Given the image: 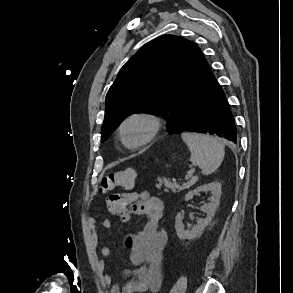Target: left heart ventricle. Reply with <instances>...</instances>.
Returning <instances> with one entry per match:
<instances>
[{
    "instance_id": "left-heart-ventricle-1",
    "label": "left heart ventricle",
    "mask_w": 293,
    "mask_h": 293,
    "mask_svg": "<svg viewBox=\"0 0 293 293\" xmlns=\"http://www.w3.org/2000/svg\"><path fill=\"white\" fill-rule=\"evenodd\" d=\"M149 125L143 120H133L124 128V136L128 143L142 140L148 133Z\"/></svg>"
}]
</instances>
